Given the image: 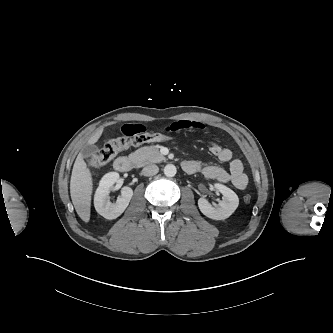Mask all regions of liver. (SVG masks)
Returning a JSON list of instances; mask_svg holds the SVG:
<instances>
[{
    "instance_id": "liver-1",
    "label": "liver",
    "mask_w": 333,
    "mask_h": 333,
    "mask_svg": "<svg viewBox=\"0 0 333 333\" xmlns=\"http://www.w3.org/2000/svg\"><path fill=\"white\" fill-rule=\"evenodd\" d=\"M103 133V128L99 129L88 141L92 145L98 141ZM93 191V180L90 170L83 159V154L79 153L70 179V194L72 203L78 216L89 222L91 213V196Z\"/></svg>"
}]
</instances>
